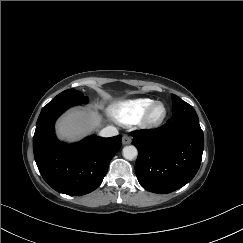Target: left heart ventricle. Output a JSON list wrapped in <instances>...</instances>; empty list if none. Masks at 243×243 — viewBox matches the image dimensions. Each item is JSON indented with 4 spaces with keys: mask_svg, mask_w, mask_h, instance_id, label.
Masks as SVG:
<instances>
[{
    "mask_svg": "<svg viewBox=\"0 0 243 243\" xmlns=\"http://www.w3.org/2000/svg\"><path fill=\"white\" fill-rule=\"evenodd\" d=\"M163 113V107H157L153 112V118H159Z\"/></svg>",
    "mask_w": 243,
    "mask_h": 243,
    "instance_id": "left-heart-ventricle-1",
    "label": "left heart ventricle"
}]
</instances>
